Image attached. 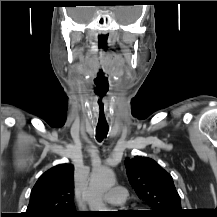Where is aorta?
<instances>
[{"mask_svg":"<svg viewBox=\"0 0 217 217\" xmlns=\"http://www.w3.org/2000/svg\"><path fill=\"white\" fill-rule=\"evenodd\" d=\"M115 184L114 173L107 167L93 170L85 199L91 211H109L102 201V197Z\"/></svg>","mask_w":217,"mask_h":217,"instance_id":"762f6f07","label":"aorta"}]
</instances>
